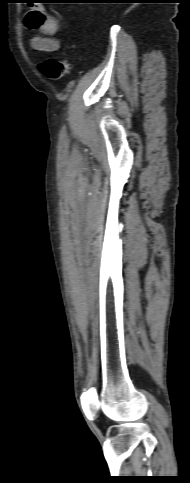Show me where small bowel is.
<instances>
[{
    "instance_id": "small-bowel-1",
    "label": "small bowel",
    "mask_w": 190,
    "mask_h": 483,
    "mask_svg": "<svg viewBox=\"0 0 190 483\" xmlns=\"http://www.w3.org/2000/svg\"><path fill=\"white\" fill-rule=\"evenodd\" d=\"M25 21L28 28L43 33V36L32 38L31 44L34 50L51 53L59 49L60 43L55 37L59 31V25L54 17L43 11H30Z\"/></svg>"
}]
</instances>
